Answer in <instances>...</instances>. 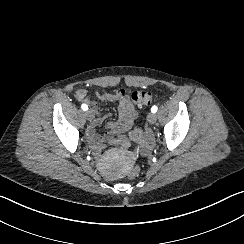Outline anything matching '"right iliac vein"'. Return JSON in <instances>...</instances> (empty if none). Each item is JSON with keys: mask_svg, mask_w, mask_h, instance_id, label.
Instances as JSON below:
<instances>
[{"mask_svg": "<svg viewBox=\"0 0 244 244\" xmlns=\"http://www.w3.org/2000/svg\"><path fill=\"white\" fill-rule=\"evenodd\" d=\"M85 116L87 117V119L89 120V121H91L93 118H94V113H93V111L92 110H87L86 112H85Z\"/></svg>", "mask_w": 244, "mask_h": 244, "instance_id": "63e3f726", "label": "right iliac vein"}]
</instances>
